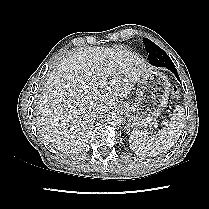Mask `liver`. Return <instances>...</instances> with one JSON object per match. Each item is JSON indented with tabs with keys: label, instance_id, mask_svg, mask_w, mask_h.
<instances>
[{
	"label": "liver",
	"instance_id": "1",
	"mask_svg": "<svg viewBox=\"0 0 209 209\" xmlns=\"http://www.w3.org/2000/svg\"><path fill=\"white\" fill-rule=\"evenodd\" d=\"M150 71L132 52L88 47L50 74L38 97L37 123L46 142L70 154L84 151L89 126Z\"/></svg>",
	"mask_w": 209,
	"mask_h": 209
}]
</instances>
